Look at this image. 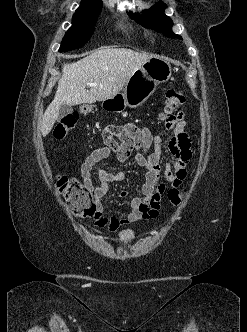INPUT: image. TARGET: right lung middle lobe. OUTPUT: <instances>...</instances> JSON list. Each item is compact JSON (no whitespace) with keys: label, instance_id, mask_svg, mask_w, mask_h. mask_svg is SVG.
Listing matches in <instances>:
<instances>
[{"label":"right lung middle lobe","instance_id":"1","mask_svg":"<svg viewBox=\"0 0 247 332\" xmlns=\"http://www.w3.org/2000/svg\"><path fill=\"white\" fill-rule=\"evenodd\" d=\"M101 10V6L91 9H77L72 17L73 25L66 32L59 52H66L85 45L94 32V26Z\"/></svg>","mask_w":247,"mask_h":332}]
</instances>
